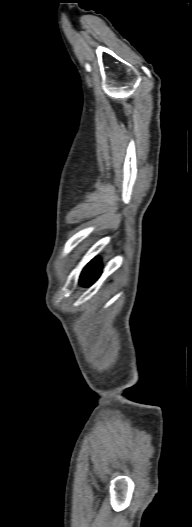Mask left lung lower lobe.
<instances>
[{"label": "left lung lower lobe", "instance_id": "left-lung-lower-lobe-1", "mask_svg": "<svg viewBox=\"0 0 192 527\" xmlns=\"http://www.w3.org/2000/svg\"><path fill=\"white\" fill-rule=\"evenodd\" d=\"M100 265H95L93 261H91L82 271L81 274V283L88 286L91 285L100 275Z\"/></svg>", "mask_w": 192, "mask_h": 527}]
</instances>
